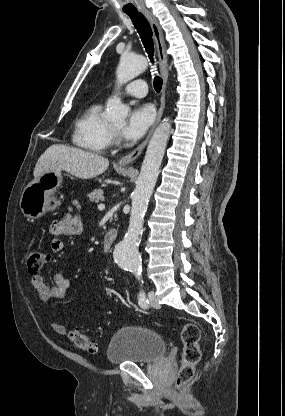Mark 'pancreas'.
<instances>
[{
    "instance_id": "cf45deb5",
    "label": "pancreas",
    "mask_w": 285,
    "mask_h": 416,
    "mask_svg": "<svg viewBox=\"0 0 285 416\" xmlns=\"http://www.w3.org/2000/svg\"><path fill=\"white\" fill-rule=\"evenodd\" d=\"M103 194V190H93V192H90V194H87V196L90 202H99V200H101V202H104Z\"/></svg>"
}]
</instances>
